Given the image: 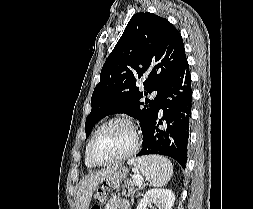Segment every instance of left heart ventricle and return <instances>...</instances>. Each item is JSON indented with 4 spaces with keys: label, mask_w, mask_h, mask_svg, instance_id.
Segmentation results:
<instances>
[{
    "label": "left heart ventricle",
    "mask_w": 253,
    "mask_h": 209,
    "mask_svg": "<svg viewBox=\"0 0 253 209\" xmlns=\"http://www.w3.org/2000/svg\"><path fill=\"white\" fill-rule=\"evenodd\" d=\"M133 144L132 130L124 123H112L97 136L93 155L99 162L113 160L124 154Z\"/></svg>",
    "instance_id": "1"
}]
</instances>
